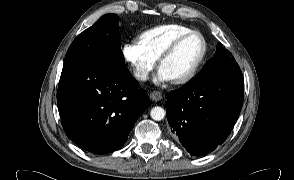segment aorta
Segmentation results:
<instances>
[{
	"mask_svg": "<svg viewBox=\"0 0 294 180\" xmlns=\"http://www.w3.org/2000/svg\"><path fill=\"white\" fill-rule=\"evenodd\" d=\"M150 116L155 121H161L165 117V111L162 107L155 106L151 109Z\"/></svg>",
	"mask_w": 294,
	"mask_h": 180,
	"instance_id": "aorta-1",
	"label": "aorta"
}]
</instances>
